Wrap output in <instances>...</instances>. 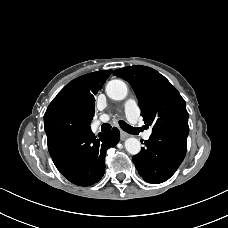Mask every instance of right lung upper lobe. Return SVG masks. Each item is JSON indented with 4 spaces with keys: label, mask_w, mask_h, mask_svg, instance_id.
<instances>
[{
    "label": "right lung upper lobe",
    "mask_w": 228,
    "mask_h": 228,
    "mask_svg": "<svg viewBox=\"0 0 228 228\" xmlns=\"http://www.w3.org/2000/svg\"><path fill=\"white\" fill-rule=\"evenodd\" d=\"M111 73L112 70L97 71L72 80L58 93L50 106H69L91 120L95 112V95Z\"/></svg>",
    "instance_id": "right-lung-upper-lobe-1"
}]
</instances>
